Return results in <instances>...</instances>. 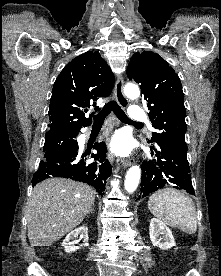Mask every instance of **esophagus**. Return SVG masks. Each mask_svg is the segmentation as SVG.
<instances>
[{
    "instance_id": "1",
    "label": "esophagus",
    "mask_w": 221,
    "mask_h": 276,
    "mask_svg": "<svg viewBox=\"0 0 221 276\" xmlns=\"http://www.w3.org/2000/svg\"><path fill=\"white\" fill-rule=\"evenodd\" d=\"M123 84H124L123 78L121 76L118 77L116 84H115V96H116V100H117L118 104L122 108H127L128 100L123 93ZM120 163L123 167H128L132 164V159L124 158V159L120 160Z\"/></svg>"
}]
</instances>
